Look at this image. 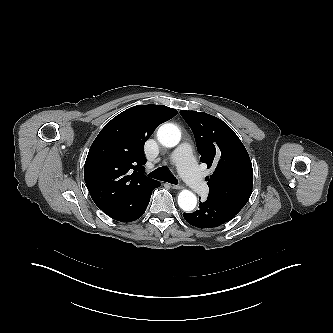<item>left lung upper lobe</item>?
Wrapping results in <instances>:
<instances>
[{"label": "left lung upper lobe", "mask_w": 333, "mask_h": 333, "mask_svg": "<svg viewBox=\"0 0 333 333\" xmlns=\"http://www.w3.org/2000/svg\"><path fill=\"white\" fill-rule=\"evenodd\" d=\"M180 114L194 133L200 161L214 168L206 178L209 196L238 213L249 200L253 186V168L244 145L217 117L185 110Z\"/></svg>", "instance_id": "obj_1"}]
</instances>
